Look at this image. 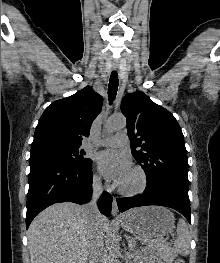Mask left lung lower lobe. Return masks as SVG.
<instances>
[{"mask_svg":"<svg viewBox=\"0 0 220 263\" xmlns=\"http://www.w3.org/2000/svg\"><path fill=\"white\" fill-rule=\"evenodd\" d=\"M120 212L133 207L159 205L173 208L186 217L191 223L190 200L188 187L170 180H158L147 184L141 195L127 198H118Z\"/></svg>","mask_w":220,"mask_h":263,"instance_id":"left-lung-lower-lobe-1","label":"left lung lower lobe"}]
</instances>
